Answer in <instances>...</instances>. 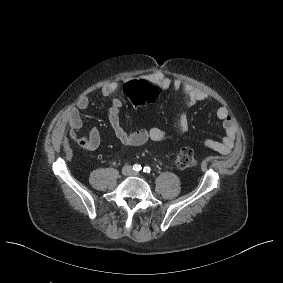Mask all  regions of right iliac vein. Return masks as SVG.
<instances>
[{
  "instance_id": "63e3f726",
  "label": "right iliac vein",
  "mask_w": 283,
  "mask_h": 283,
  "mask_svg": "<svg viewBox=\"0 0 283 283\" xmlns=\"http://www.w3.org/2000/svg\"><path fill=\"white\" fill-rule=\"evenodd\" d=\"M131 172V168L129 166H125L123 169H122V173L124 175H128L129 173Z\"/></svg>"
}]
</instances>
